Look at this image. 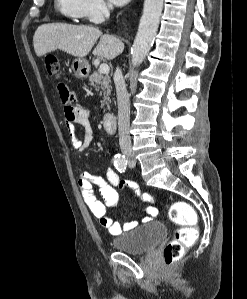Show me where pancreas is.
<instances>
[{"instance_id": "cf45deb5", "label": "pancreas", "mask_w": 247, "mask_h": 299, "mask_svg": "<svg viewBox=\"0 0 247 299\" xmlns=\"http://www.w3.org/2000/svg\"><path fill=\"white\" fill-rule=\"evenodd\" d=\"M89 81L91 87L95 88L96 91H99L100 95L103 94L101 107L106 104L109 109L110 95L112 91L110 76L94 71L92 75H90Z\"/></svg>"}]
</instances>
